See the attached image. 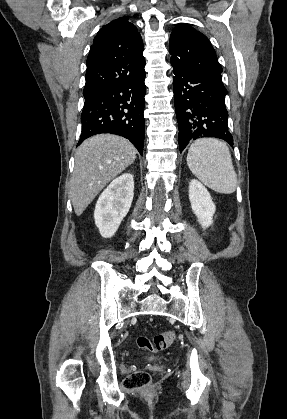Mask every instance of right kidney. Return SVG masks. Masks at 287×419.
<instances>
[{"label": "right kidney", "instance_id": "right-kidney-1", "mask_svg": "<svg viewBox=\"0 0 287 419\" xmlns=\"http://www.w3.org/2000/svg\"><path fill=\"white\" fill-rule=\"evenodd\" d=\"M134 196V179L124 173L103 191L94 211V219L102 237L110 238L118 230L121 221L129 212Z\"/></svg>", "mask_w": 287, "mask_h": 419}]
</instances>
